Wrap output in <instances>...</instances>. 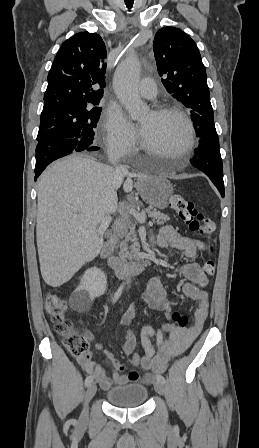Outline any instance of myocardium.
Returning a JSON list of instances; mask_svg holds the SVG:
<instances>
[{
    "label": "myocardium",
    "instance_id": "1",
    "mask_svg": "<svg viewBox=\"0 0 259 448\" xmlns=\"http://www.w3.org/2000/svg\"><path fill=\"white\" fill-rule=\"evenodd\" d=\"M152 112L156 116H162L164 114L172 113L178 116L184 122L187 131L186 138L184 142L179 147L176 148V150H177V157L181 159L183 163H186L190 157L191 148L195 140V128L191 119L181 107L175 104L157 105L154 107ZM139 137L141 141V148L145 151L154 153L155 150L141 138L140 132Z\"/></svg>",
    "mask_w": 259,
    "mask_h": 448
}]
</instances>
